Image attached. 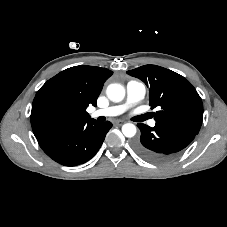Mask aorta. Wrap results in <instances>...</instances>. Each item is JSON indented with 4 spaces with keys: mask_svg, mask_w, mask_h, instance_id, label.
Instances as JSON below:
<instances>
[{
    "mask_svg": "<svg viewBox=\"0 0 227 227\" xmlns=\"http://www.w3.org/2000/svg\"><path fill=\"white\" fill-rule=\"evenodd\" d=\"M106 94L112 102H120L125 97V88L121 84L113 83L107 87ZM136 131V126L132 123H126L122 126V133L125 137L135 136Z\"/></svg>",
    "mask_w": 227,
    "mask_h": 227,
    "instance_id": "1",
    "label": "aorta"
}]
</instances>
